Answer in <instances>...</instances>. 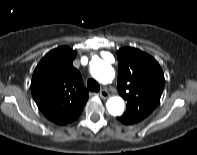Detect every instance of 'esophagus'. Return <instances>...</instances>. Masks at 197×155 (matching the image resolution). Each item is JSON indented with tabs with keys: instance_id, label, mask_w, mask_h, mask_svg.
I'll return each instance as SVG.
<instances>
[{
	"instance_id": "1",
	"label": "esophagus",
	"mask_w": 197,
	"mask_h": 155,
	"mask_svg": "<svg viewBox=\"0 0 197 155\" xmlns=\"http://www.w3.org/2000/svg\"><path fill=\"white\" fill-rule=\"evenodd\" d=\"M99 95L101 98L103 99H107L109 97V93L106 89H102L100 92H99Z\"/></svg>"
}]
</instances>
